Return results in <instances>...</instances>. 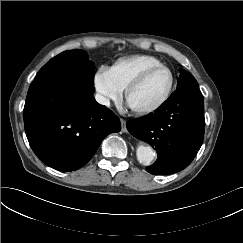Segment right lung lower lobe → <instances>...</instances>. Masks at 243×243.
<instances>
[{
  "instance_id": "1",
  "label": "right lung lower lobe",
  "mask_w": 243,
  "mask_h": 243,
  "mask_svg": "<svg viewBox=\"0 0 243 243\" xmlns=\"http://www.w3.org/2000/svg\"><path fill=\"white\" fill-rule=\"evenodd\" d=\"M93 83L35 78L23 116L29 144L47 166L74 171L94 155L102 140L121 130L119 118L96 102Z\"/></svg>"
}]
</instances>
